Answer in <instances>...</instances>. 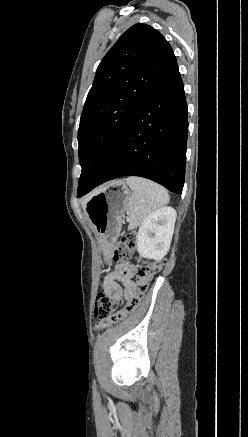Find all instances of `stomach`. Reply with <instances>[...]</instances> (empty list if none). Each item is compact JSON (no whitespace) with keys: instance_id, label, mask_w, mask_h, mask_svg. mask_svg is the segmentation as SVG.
<instances>
[{"instance_id":"obj_1","label":"stomach","mask_w":248,"mask_h":437,"mask_svg":"<svg viewBox=\"0 0 248 437\" xmlns=\"http://www.w3.org/2000/svg\"><path fill=\"white\" fill-rule=\"evenodd\" d=\"M121 185L122 182H114L95 192L84 206L105 254L116 240L130 198L128 190L120 188Z\"/></svg>"}]
</instances>
